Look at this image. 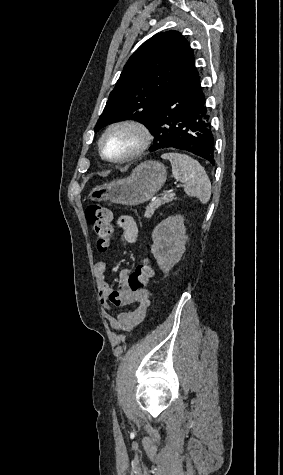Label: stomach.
I'll return each instance as SVG.
<instances>
[{
    "mask_svg": "<svg viewBox=\"0 0 283 475\" xmlns=\"http://www.w3.org/2000/svg\"><path fill=\"white\" fill-rule=\"evenodd\" d=\"M166 168L156 160L139 164L126 180H114L96 186L89 194L92 202H113L123 206H139L153 198L166 180Z\"/></svg>",
    "mask_w": 283,
    "mask_h": 475,
    "instance_id": "0dacf381",
    "label": "stomach"
}]
</instances>
